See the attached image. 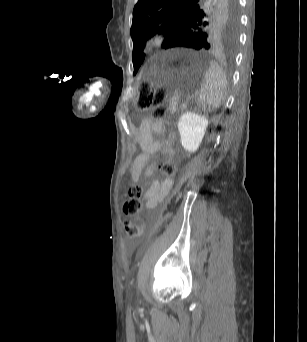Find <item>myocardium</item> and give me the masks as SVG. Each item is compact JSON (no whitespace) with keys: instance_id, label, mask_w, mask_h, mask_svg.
Returning a JSON list of instances; mask_svg holds the SVG:
<instances>
[{"instance_id":"1","label":"myocardium","mask_w":307,"mask_h":342,"mask_svg":"<svg viewBox=\"0 0 307 342\" xmlns=\"http://www.w3.org/2000/svg\"><path fill=\"white\" fill-rule=\"evenodd\" d=\"M172 34L165 27L153 30L143 43V50L148 53L157 52L165 48L171 41Z\"/></svg>"}]
</instances>
